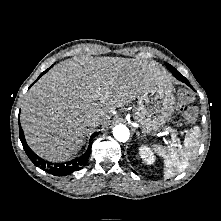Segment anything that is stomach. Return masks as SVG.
<instances>
[{
  "label": "stomach",
  "instance_id": "obj_1",
  "mask_svg": "<svg viewBox=\"0 0 221 221\" xmlns=\"http://www.w3.org/2000/svg\"><path fill=\"white\" fill-rule=\"evenodd\" d=\"M175 97L171 84H155L138 96L133 117L144 134L155 135L170 119Z\"/></svg>",
  "mask_w": 221,
  "mask_h": 221
}]
</instances>
